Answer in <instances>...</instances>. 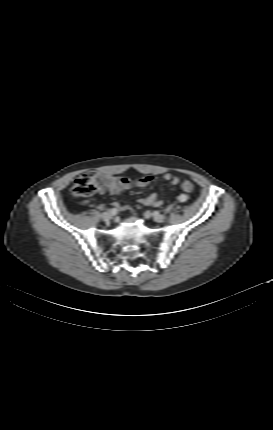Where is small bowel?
<instances>
[{
    "mask_svg": "<svg viewBox=\"0 0 273 430\" xmlns=\"http://www.w3.org/2000/svg\"><path fill=\"white\" fill-rule=\"evenodd\" d=\"M94 175L100 182L98 186V192L100 194L108 191L113 195H120L134 187H147L154 181V177L152 176H144L133 180L127 177H115L106 173H95ZM163 178L171 185H177L180 182V178L177 175L169 172L165 173ZM185 200L186 198L184 195L178 197L179 202ZM139 203L146 206L159 207L162 205V200L157 194H151L148 197L139 199ZM98 208L103 209V206L99 205ZM114 208L123 211L127 210L129 207L125 204L116 203Z\"/></svg>",
    "mask_w": 273,
    "mask_h": 430,
    "instance_id": "c3829d8e",
    "label": "small bowel"
}]
</instances>
